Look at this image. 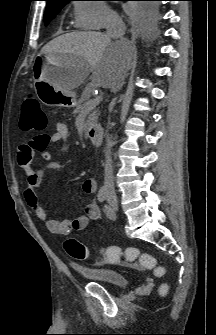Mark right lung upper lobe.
<instances>
[{"label":"right lung upper lobe","mask_w":216,"mask_h":335,"mask_svg":"<svg viewBox=\"0 0 216 335\" xmlns=\"http://www.w3.org/2000/svg\"><path fill=\"white\" fill-rule=\"evenodd\" d=\"M46 1H47V5H50V4L61 3V2H69L71 0H46Z\"/></svg>","instance_id":"right-lung-upper-lobe-1"}]
</instances>
